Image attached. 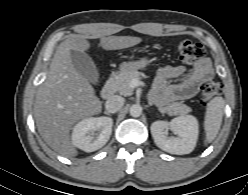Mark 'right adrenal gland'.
Returning a JSON list of instances; mask_svg holds the SVG:
<instances>
[{
  "instance_id": "right-adrenal-gland-1",
  "label": "right adrenal gland",
  "mask_w": 248,
  "mask_h": 195,
  "mask_svg": "<svg viewBox=\"0 0 248 195\" xmlns=\"http://www.w3.org/2000/svg\"><path fill=\"white\" fill-rule=\"evenodd\" d=\"M104 114L109 115V116L111 115V113H109L108 111H105Z\"/></svg>"
}]
</instances>
